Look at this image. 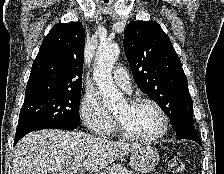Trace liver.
Returning <instances> with one entry per match:
<instances>
[{"mask_svg":"<svg viewBox=\"0 0 224 174\" xmlns=\"http://www.w3.org/2000/svg\"><path fill=\"white\" fill-rule=\"evenodd\" d=\"M140 145L112 142L84 132L40 130L27 134L18 142L13 170L14 174L98 172Z\"/></svg>","mask_w":224,"mask_h":174,"instance_id":"6515ba94","label":"liver"}]
</instances>
